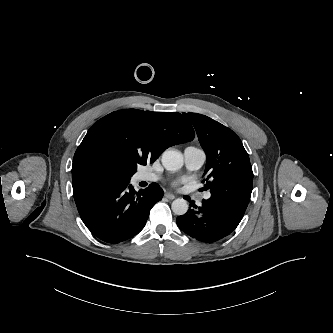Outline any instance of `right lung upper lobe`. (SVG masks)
<instances>
[{
  "instance_id": "right-lung-upper-lobe-1",
  "label": "right lung upper lobe",
  "mask_w": 333,
  "mask_h": 333,
  "mask_svg": "<svg viewBox=\"0 0 333 333\" xmlns=\"http://www.w3.org/2000/svg\"><path fill=\"white\" fill-rule=\"evenodd\" d=\"M194 130L177 112L125 109L97 121L77 148L72 180L108 169L129 181L137 166L154 162L168 147L193 140Z\"/></svg>"
}]
</instances>
